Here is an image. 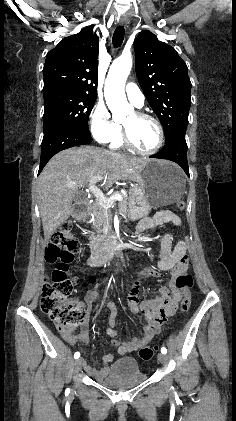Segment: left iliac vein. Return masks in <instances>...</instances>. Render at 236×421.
Returning a JSON list of instances; mask_svg holds the SVG:
<instances>
[{
	"instance_id": "obj_1",
	"label": "left iliac vein",
	"mask_w": 236,
	"mask_h": 421,
	"mask_svg": "<svg viewBox=\"0 0 236 421\" xmlns=\"http://www.w3.org/2000/svg\"><path fill=\"white\" fill-rule=\"evenodd\" d=\"M157 358H158V360H159L161 363H163V364H167V362H168V358H167V356H166L165 354H163V353H159V354L157 355Z\"/></svg>"
}]
</instances>
